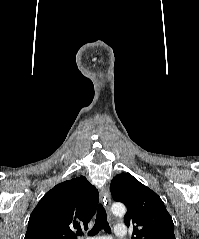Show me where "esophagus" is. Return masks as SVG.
<instances>
[{"label":"esophagus","mask_w":199,"mask_h":239,"mask_svg":"<svg viewBox=\"0 0 199 239\" xmlns=\"http://www.w3.org/2000/svg\"><path fill=\"white\" fill-rule=\"evenodd\" d=\"M100 201L106 208L108 218L111 219L112 215L110 212V193L109 188L106 186L100 190Z\"/></svg>","instance_id":"obj_1"}]
</instances>
